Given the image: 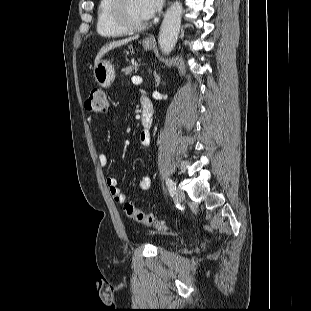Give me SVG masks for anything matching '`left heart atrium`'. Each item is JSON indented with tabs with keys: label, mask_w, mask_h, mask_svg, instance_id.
<instances>
[{
	"label": "left heart atrium",
	"mask_w": 311,
	"mask_h": 311,
	"mask_svg": "<svg viewBox=\"0 0 311 311\" xmlns=\"http://www.w3.org/2000/svg\"><path fill=\"white\" fill-rule=\"evenodd\" d=\"M142 14L146 19L152 18L164 4V0H139Z\"/></svg>",
	"instance_id": "39dd6f15"
}]
</instances>
